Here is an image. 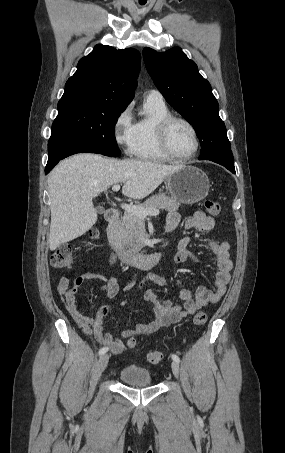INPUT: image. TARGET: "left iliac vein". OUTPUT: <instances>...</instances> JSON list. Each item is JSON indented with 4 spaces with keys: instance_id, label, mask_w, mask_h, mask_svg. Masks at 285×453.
<instances>
[{
    "instance_id": "4c4485c4",
    "label": "left iliac vein",
    "mask_w": 285,
    "mask_h": 453,
    "mask_svg": "<svg viewBox=\"0 0 285 453\" xmlns=\"http://www.w3.org/2000/svg\"><path fill=\"white\" fill-rule=\"evenodd\" d=\"M171 368H172V372H173L174 376L176 378H178L179 377V370H180L179 363L176 362V361H173L172 364H171Z\"/></svg>"
}]
</instances>
